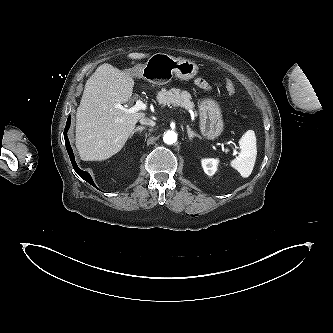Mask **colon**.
<instances>
[{
  "label": "colon",
  "instance_id": "colon-1",
  "mask_svg": "<svg viewBox=\"0 0 333 333\" xmlns=\"http://www.w3.org/2000/svg\"><path fill=\"white\" fill-rule=\"evenodd\" d=\"M225 88L228 91L230 95H234L236 92V88L234 83L231 80H226L225 82Z\"/></svg>",
  "mask_w": 333,
  "mask_h": 333
}]
</instances>
